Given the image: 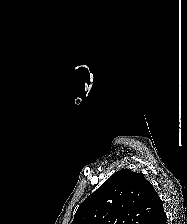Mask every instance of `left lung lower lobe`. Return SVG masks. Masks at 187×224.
Returning a JSON list of instances; mask_svg holds the SVG:
<instances>
[{
	"label": "left lung lower lobe",
	"instance_id": "obj_1",
	"mask_svg": "<svg viewBox=\"0 0 187 224\" xmlns=\"http://www.w3.org/2000/svg\"><path fill=\"white\" fill-rule=\"evenodd\" d=\"M167 223V217L165 214V211L163 207H161L159 213L157 216L151 221L150 224H166Z\"/></svg>",
	"mask_w": 187,
	"mask_h": 224
}]
</instances>
